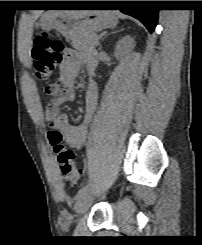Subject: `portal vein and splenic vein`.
I'll use <instances>...</instances> for the list:
<instances>
[{
    "label": "portal vein and splenic vein",
    "mask_w": 202,
    "mask_h": 245,
    "mask_svg": "<svg viewBox=\"0 0 202 245\" xmlns=\"http://www.w3.org/2000/svg\"><path fill=\"white\" fill-rule=\"evenodd\" d=\"M95 41H96L97 44H99V38L98 37L96 38Z\"/></svg>",
    "instance_id": "1"
}]
</instances>
